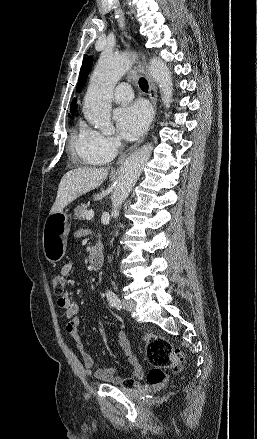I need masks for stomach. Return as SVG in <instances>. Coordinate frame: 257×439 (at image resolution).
<instances>
[{
  "label": "stomach",
  "instance_id": "0dacf381",
  "mask_svg": "<svg viewBox=\"0 0 257 439\" xmlns=\"http://www.w3.org/2000/svg\"><path fill=\"white\" fill-rule=\"evenodd\" d=\"M69 227V217L64 211L47 217L43 228V251L49 262H58L65 255Z\"/></svg>",
  "mask_w": 257,
  "mask_h": 439
}]
</instances>
